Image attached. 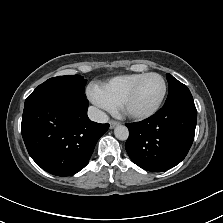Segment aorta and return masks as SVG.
<instances>
[{
    "label": "aorta",
    "instance_id": "aorta-1",
    "mask_svg": "<svg viewBox=\"0 0 223 223\" xmlns=\"http://www.w3.org/2000/svg\"><path fill=\"white\" fill-rule=\"evenodd\" d=\"M115 137L119 140H126L129 136V131L126 126L118 125L114 128Z\"/></svg>",
    "mask_w": 223,
    "mask_h": 223
}]
</instances>
